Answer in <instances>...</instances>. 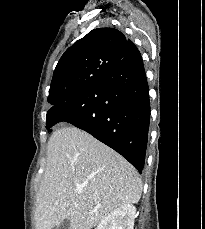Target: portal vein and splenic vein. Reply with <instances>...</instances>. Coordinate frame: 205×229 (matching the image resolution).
I'll return each instance as SVG.
<instances>
[{
  "instance_id": "1",
  "label": "portal vein and splenic vein",
  "mask_w": 205,
  "mask_h": 229,
  "mask_svg": "<svg viewBox=\"0 0 205 229\" xmlns=\"http://www.w3.org/2000/svg\"><path fill=\"white\" fill-rule=\"evenodd\" d=\"M81 193H82V191H81V190H79V191H78V194H81Z\"/></svg>"
}]
</instances>
